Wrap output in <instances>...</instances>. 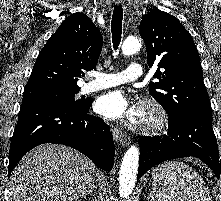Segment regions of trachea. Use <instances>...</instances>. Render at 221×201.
I'll return each mask as SVG.
<instances>
[{"instance_id":"1","label":"trachea","mask_w":221,"mask_h":201,"mask_svg":"<svg viewBox=\"0 0 221 201\" xmlns=\"http://www.w3.org/2000/svg\"><path fill=\"white\" fill-rule=\"evenodd\" d=\"M122 20H123L122 6L121 5L115 6L111 21L112 42L115 50L118 49V46L121 41Z\"/></svg>"}]
</instances>
